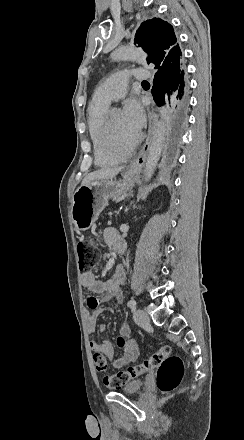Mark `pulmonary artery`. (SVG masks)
I'll list each match as a JSON object with an SVG mask.
<instances>
[{"instance_id": "1", "label": "pulmonary artery", "mask_w": 244, "mask_h": 440, "mask_svg": "<svg viewBox=\"0 0 244 440\" xmlns=\"http://www.w3.org/2000/svg\"><path fill=\"white\" fill-rule=\"evenodd\" d=\"M127 74V71L122 69L113 70L109 78L110 82H101V90L93 91V102L111 104L112 101L123 97L126 90ZM134 74L137 78H148L149 71L148 69H137Z\"/></svg>"}]
</instances>
